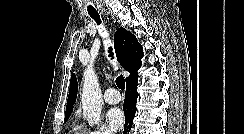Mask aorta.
Instances as JSON below:
<instances>
[{"mask_svg": "<svg viewBox=\"0 0 244 134\" xmlns=\"http://www.w3.org/2000/svg\"><path fill=\"white\" fill-rule=\"evenodd\" d=\"M84 85L81 95L83 117L90 126L101 121L102 94L97 75L93 70L87 69L84 72Z\"/></svg>", "mask_w": 244, "mask_h": 134, "instance_id": "obj_1", "label": "aorta"}]
</instances>
